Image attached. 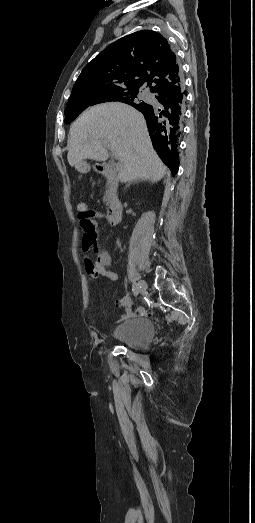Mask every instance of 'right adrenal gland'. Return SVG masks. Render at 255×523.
<instances>
[{"mask_svg": "<svg viewBox=\"0 0 255 523\" xmlns=\"http://www.w3.org/2000/svg\"><path fill=\"white\" fill-rule=\"evenodd\" d=\"M128 186H130V184H127L126 188H128Z\"/></svg>", "mask_w": 255, "mask_h": 523, "instance_id": "2a0ac1e0", "label": "right adrenal gland"}]
</instances>
